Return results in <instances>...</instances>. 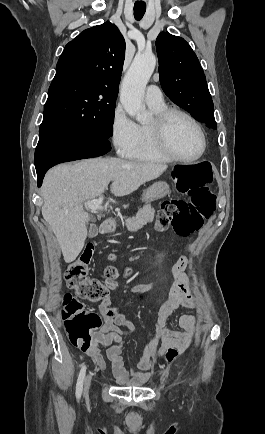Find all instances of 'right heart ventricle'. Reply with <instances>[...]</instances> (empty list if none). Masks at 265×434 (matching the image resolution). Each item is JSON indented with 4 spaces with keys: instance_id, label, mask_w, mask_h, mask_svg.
I'll return each mask as SVG.
<instances>
[{
    "instance_id": "1",
    "label": "right heart ventricle",
    "mask_w": 265,
    "mask_h": 434,
    "mask_svg": "<svg viewBox=\"0 0 265 434\" xmlns=\"http://www.w3.org/2000/svg\"><path fill=\"white\" fill-rule=\"evenodd\" d=\"M155 118L147 124L139 125V141L133 154H129L128 159L141 163L163 164L170 163L172 160L167 157L159 148L157 142L154 122L156 117L167 107L163 101L158 104L149 105Z\"/></svg>"
}]
</instances>
